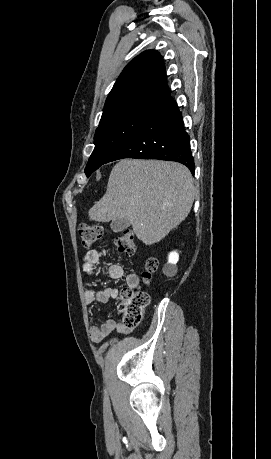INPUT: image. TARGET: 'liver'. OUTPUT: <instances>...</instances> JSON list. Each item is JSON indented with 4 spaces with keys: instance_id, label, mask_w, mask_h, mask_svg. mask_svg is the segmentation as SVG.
<instances>
[{
    "instance_id": "1",
    "label": "liver",
    "mask_w": 271,
    "mask_h": 459,
    "mask_svg": "<svg viewBox=\"0 0 271 459\" xmlns=\"http://www.w3.org/2000/svg\"><path fill=\"white\" fill-rule=\"evenodd\" d=\"M195 198L191 172L178 162L121 160L89 220H128L146 245L163 239L187 218Z\"/></svg>"
}]
</instances>
